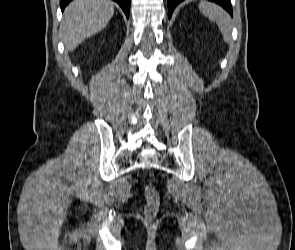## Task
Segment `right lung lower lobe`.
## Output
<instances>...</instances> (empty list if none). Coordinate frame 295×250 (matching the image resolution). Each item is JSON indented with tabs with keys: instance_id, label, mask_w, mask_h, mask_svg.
Wrapping results in <instances>:
<instances>
[{
	"instance_id": "right-lung-lower-lobe-1",
	"label": "right lung lower lobe",
	"mask_w": 295,
	"mask_h": 250,
	"mask_svg": "<svg viewBox=\"0 0 295 250\" xmlns=\"http://www.w3.org/2000/svg\"><path fill=\"white\" fill-rule=\"evenodd\" d=\"M72 0H60V7L61 10L63 11L64 8L67 6V4L69 2H71ZM115 2H117L121 8L123 9L124 13L126 14V17H129V12H130V3L131 0H113Z\"/></svg>"
}]
</instances>
